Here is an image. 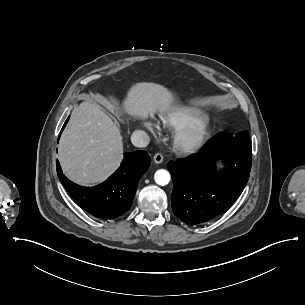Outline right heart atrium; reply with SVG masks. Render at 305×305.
<instances>
[{
  "label": "right heart atrium",
  "instance_id": "d8ad5b80",
  "mask_svg": "<svg viewBox=\"0 0 305 305\" xmlns=\"http://www.w3.org/2000/svg\"><path fill=\"white\" fill-rule=\"evenodd\" d=\"M143 126L150 131H152L154 129V123L151 121H144Z\"/></svg>",
  "mask_w": 305,
  "mask_h": 305
}]
</instances>
